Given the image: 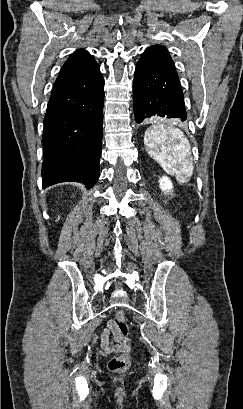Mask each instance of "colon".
<instances>
[{
    "label": "colon",
    "instance_id": "5ec220e1",
    "mask_svg": "<svg viewBox=\"0 0 243 409\" xmlns=\"http://www.w3.org/2000/svg\"><path fill=\"white\" fill-rule=\"evenodd\" d=\"M113 322L114 335L127 347V350L124 351V353L113 357L109 361L108 367L111 371L123 372L131 365V358L129 354L130 340L128 338L129 328L123 310L120 309L116 312Z\"/></svg>",
    "mask_w": 243,
    "mask_h": 409
}]
</instances>
